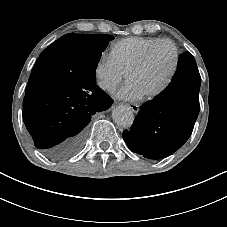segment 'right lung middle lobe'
Here are the masks:
<instances>
[{
	"label": "right lung middle lobe",
	"mask_w": 227,
	"mask_h": 227,
	"mask_svg": "<svg viewBox=\"0 0 227 227\" xmlns=\"http://www.w3.org/2000/svg\"><path fill=\"white\" fill-rule=\"evenodd\" d=\"M112 35L69 33L48 46L37 59L26 93L50 81L74 86L96 82L95 69Z\"/></svg>",
	"instance_id": "dd1d6c3e"
}]
</instances>
